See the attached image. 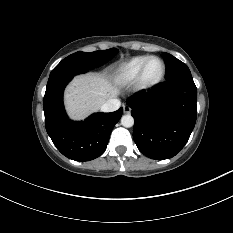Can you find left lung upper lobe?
I'll list each match as a JSON object with an SVG mask.
<instances>
[{
    "mask_svg": "<svg viewBox=\"0 0 233 233\" xmlns=\"http://www.w3.org/2000/svg\"><path fill=\"white\" fill-rule=\"evenodd\" d=\"M163 57L167 66L166 81L182 78L192 79L190 70L186 64L168 53H163Z\"/></svg>",
    "mask_w": 233,
    "mask_h": 233,
    "instance_id": "1",
    "label": "left lung upper lobe"
}]
</instances>
